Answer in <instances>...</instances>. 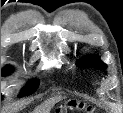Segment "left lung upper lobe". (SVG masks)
<instances>
[{
  "label": "left lung upper lobe",
  "mask_w": 123,
  "mask_h": 113,
  "mask_svg": "<svg viewBox=\"0 0 123 113\" xmlns=\"http://www.w3.org/2000/svg\"><path fill=\"white\" fill-rule=\"evenodd\" d=\"M79 67H90V68H95V69H106L107 66L104 62H102L98 56H88L83 59H81L78 62Z\"/></svg>",
  "instance_id": "left-lung-upper-lobe-1"
}]
</instances>
